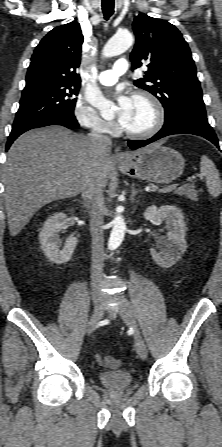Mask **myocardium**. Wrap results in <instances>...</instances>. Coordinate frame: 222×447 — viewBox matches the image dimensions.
<instances>
[{"mask_svg":"<svg viewBox=\"0 0 222 447\" xmlns=\"http://www.w3.org/2000/svg\"><path fill=\"white\" fill-rule=\"evenodd\" d=\"M132 99L144 100L152 107L155 115L154 122L149 128L142 131H131L123 127V133L134 139H145L158 133L165 122V110L162 103L153 94L146 91H139L135 93L132 96Z\"/></svg>","mask_w":222,"mask_h":447,"instance_id":"1","label":"myocardium"}]
</instances>
